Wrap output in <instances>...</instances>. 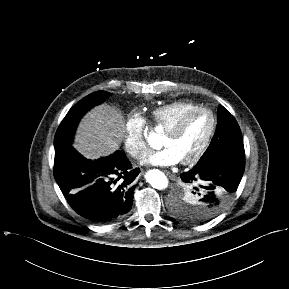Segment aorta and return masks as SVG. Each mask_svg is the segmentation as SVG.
<instances>
[{"label": "aorta", "instance_id": "aorta-1", "mask_svg": "<svg viewBox=\"0 0 289 289\" xmlns=\"http://www.w3.org/2000/svg\"><path fill=\"white\" fill-rule=\"evenodd\" d=\"M158 134L150 133L148 135V143L155 146L159 141ZM145 178L147 182L155 189L162 190L168 186V179L165 174L159 170H150L146 173Z\"/></svg>", "mask_w": 289, "mask_h": 289}]
</instances>
